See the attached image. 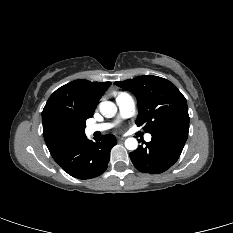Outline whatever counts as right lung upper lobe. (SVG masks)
<instances>
[{"instance_id": "1", "label": "right lung upper lobe", "mask_w": 233, "mask_h": 233, "mask_svg": "<svg viewBox=\"0 0 233 233\" xmlns=\"http://www.w3.org/2000/svg\"><path fill=\"white\" fill-rule=\"evenodd\" d=\"M111 82L75 80L57 89L48 99L43 112L46 145L57 158L86 137V120L94 114L99 99Z\"/></svg>"}]
</instances>
